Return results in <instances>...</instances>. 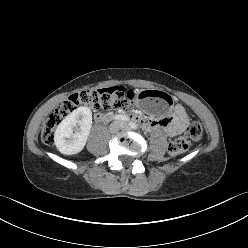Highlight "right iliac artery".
Listing matches in <instances>:
<instances>
[{"mask_svg":"<svg viewBox=\"0 0 248 248\" xmlns=\"http://www.w3.org/2000/svg\"><path fill=\"white\" fill-rule=\"evenodd\" d=\"M115 120H122V121H128L129 118L126 115H117L115 118Z\"/></svg>","mask_w":248,"mask_h":248,"instance_id":"1","label":"right iliac artery"}]
</instances>
